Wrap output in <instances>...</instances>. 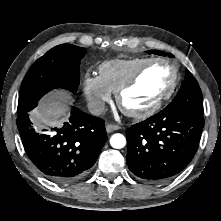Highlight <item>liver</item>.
I'll return each mask as SVG.
<instances>
[{"mask_svg":"<svg viewBox=\"0 0 221 221\" xmlns=\"http://www.w3.org/2000/svg\"><path fill=\"white\" fill-rule=\"evenodd\" d=\"M68 96L59 91L41 101L38 108L32 111V119L39 125H56L69 113L65 104Z\"/></svg>","mask_w":221,"mask_h":221,"instance_id":"obj_1","label":"liver"}]
</instances>
